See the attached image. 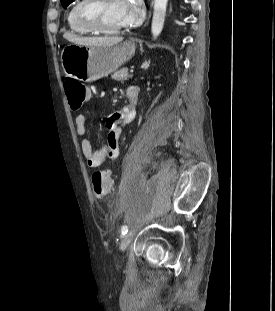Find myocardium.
<instances>
[{
  "label": "myocardium",
  "instance_id": "myocardium-1",
  "mask_svg": "<svg viewBox=\"0 0 275 311\" xmlns=\"http://www.w3.org/2000/svg\"><path fill=\"white\" fill-rule=\"evenodd\" d=\"M107 1L108 0H82V3L74 10L75 19L92 32L105 35L118 34L125 28V25L115 28H105L96 19V10Z\"/></svg>",
  "mask_w": 275,
  "mask_h": 311
}]
</instances>
